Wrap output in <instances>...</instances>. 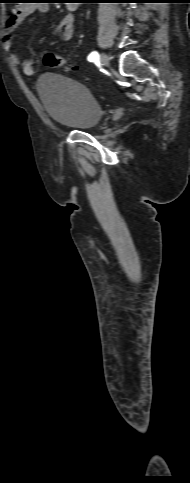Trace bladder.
<instances>
[{
    "label": "bladder",
    "mask_w": 190,
    "mask_h": 483,
    "mask_svg": "<svg viewBox=\"0 0 190 483\" xmlns=\"http://www.w3.org/2000/svg\"><path fill=\"white\" fill-rule=\"evenodd\" d=\"M36 90L49 117L64 128L87 131L97 127L102 119L97 99L75 80L46 73L37 81Z\"/></svg>",
    "instance_id": "obj_1"
}]
</instances>
